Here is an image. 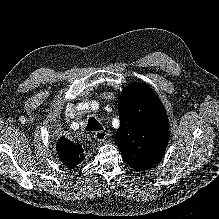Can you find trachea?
Wrapping results in <instances>:
<instances>
[{"mask_svg":"<svg viewBox=\"0 0 219 219\" xmlns=\"http://www.w3.org/2000/svg\"><path fill=\"white\" fill-rule=\"evenodd\" d=\"M86 131H100L103 130V126L94 117H89L88 124L85 128Z\"/></svg>","mask_w":219,"mask_h":219,"instance_id":"3493384b","label":"trachea"}]
</instances>
